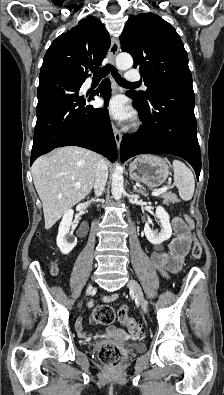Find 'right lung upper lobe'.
<instances>
[{"label": "right lung upper lobe", "mask_w": 224, "mask_h": 395, "mask_svg": "<svg viewBox=\"0 0 224 395\" xmlns=\"http://www.w3.org/2000/svg\"><path fill=\"white\" fill-rule=\"evenodd\" d=\"M109 47L110 38L104 24L96 17L88 16L52 42L41 71L54 69L86 79L88 68L100 65Z\"/></svg>", "instance_id": "1"}]
</instances>
